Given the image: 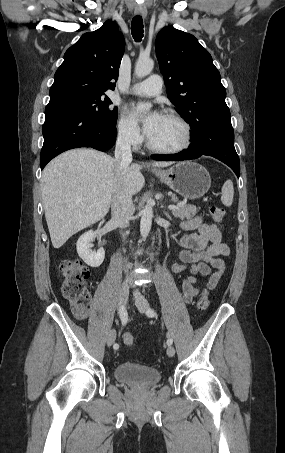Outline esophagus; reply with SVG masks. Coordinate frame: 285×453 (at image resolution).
I'll use <instances>...</instances> for the list:
<instances>
[{"label":"esophagus","instance_id":"obj_1","mask_svg":"<svg viewBox=\"0 0 285 453\" xmlns=\"http://www.w3.org/2000/svg\"><path fill=\"white\" fill-rule=\"evenodd\" d=\"M135 13L137 15L142 16L143 18H146L147 16V9L144 5H136L135 6Z\"/></svg>","mask_w":285,"mask_h":453}]
</instances>
